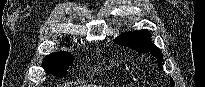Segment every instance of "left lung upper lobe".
<instances>
[{
  "instance_id": "1",
  "label": "left lung upper lobe",
  "mask_w": 205,
  "mask_h": 87,
  "mask_svg": "<svg viewBox=\"0 0 205 87\" xmlns=\"http://www.w3.org/2000/svg\"><path fill=\"white\" fill-rule=\"evenodd\" d=\"M150 38V32L147 29H142L135 32H125L118 36L114 42L135 49L138 52L151 53L157 58L158 66L162 68L163 55L159 48L150 41ZM171 86L174 87L172 79Z\"/></svg>"
}]
</instances>
